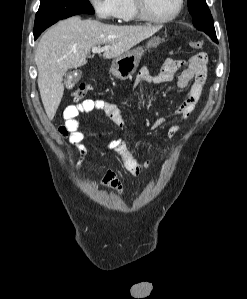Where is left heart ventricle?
<instances>
[{"label":"left heart ventricle","instance_id":"b2bd125f","mask_svg":"<svg viewBox=\"0 0 247 299\" xmlns=\"http://www.w3.org/2000/svg\"><path fill=\"white\" fill-rule=\"evenodd\" d=\"M148 13L156 18H166L174 13L177 0H145Z\"/></svg>","mask_w":247,"mask_h":299}]
</instances>
